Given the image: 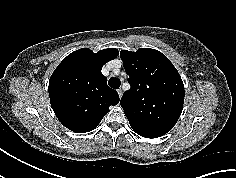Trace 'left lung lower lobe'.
Listing matches in <instances>:
<instances>
[{"instance_id":"obj_1","label":"left lung lower lobe","mask_w":236,"mask_h":178,"mask_svg":"<svg viewBox=\"0 0 236 178\" xmlns=\"http://www.w3.org/2000/svg\"><path fill=\"white\" fill-rule=\"evenodd\" d=\"M141 136V135H140ZM142 137H145V136H142ZM145 138H154V137H145Z\"/></svg>"}]
</instances>
